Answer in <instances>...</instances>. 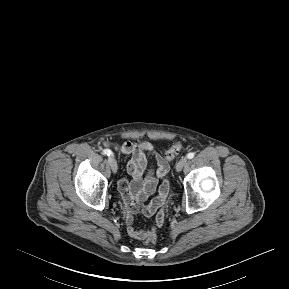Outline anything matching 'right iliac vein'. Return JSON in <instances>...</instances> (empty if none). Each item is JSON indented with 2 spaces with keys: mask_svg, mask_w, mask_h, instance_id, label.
<instances>
[{
  "mask_svg": "<svg viewBox=\"0 0 289 289\" xmlns=\"http://www.w3.org/2000/svg\"><path fill=\"white\" fill-rule=\"evenodd\" d=\"M108 162H109V165H110L113 173H116L117 170H118V166H117L116 160L113 157H109L108 158Z\"/></svg>",
  "mask_w": 289,
  "mask_h": 289,
  "instance_id": "63e3f726",
  "label": "right iliac vein"
}]
</instances>
